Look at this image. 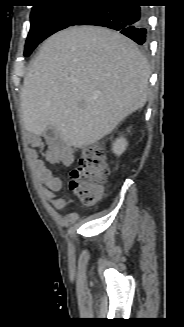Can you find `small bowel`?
Returning <instances> with one entry per match:
<instances>
[{
  "mask_svg": "<svg viewBox=\"0 0 184 327\" xmlns=\"http://www.w3.org/2000/svg\"><path fill=\"white\" fill-rule=\"evenodd\" d=\"M32 142L38 145L39 139L33 137ZM48 150L44 153L45 159L52 164L69 166L74 162V150L71 147L61 146L54 139L46 138ZM30 159L33 169L39 179L45 185V195L55 209L61 210L66 201L60 196L62 192V180L55 176L45 161L40 158L39 152L33 148L30 151Z\"/></svg>",
  "mask_w": 184,
  "mask_h": 327,
  "instance_id": "obj_1",
  "label": "small bowel"
}]
</instances>
